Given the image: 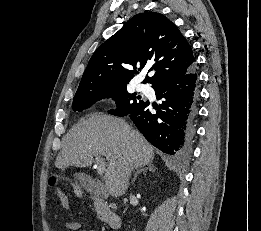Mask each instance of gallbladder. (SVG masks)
Instances as JSON below:
<instances>
[{"mask_svg": "<svg viewBox=\"0 0 261 231\" xmlns=\"http://www.w3.org/2000/svg\"><path fill=\"white\" fill-rule=\"evenodd\" d=\"M75 178L81 183V185L88 191L94 192L95 194H102V188L100 185L95 183L89 176L84 173H76Z\"/></svg>", "mask_w": 261, "mask_h": 231, "instance_id": "obj_1", "label": "gallbladder"}]
</instances>
